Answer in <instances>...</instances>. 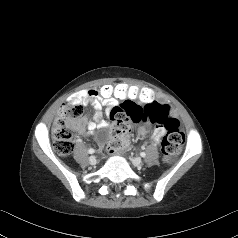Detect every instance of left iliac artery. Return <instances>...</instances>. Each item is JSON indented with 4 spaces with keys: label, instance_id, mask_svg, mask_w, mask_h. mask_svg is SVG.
<instances>
[{
    "label": "left iliac artery",
    "instance_id": "left-iliac-artery-1",
    "mask_svg": "<svg viewBox=\"0 0 238 238\" xmlns=\"http://www.w3.org/2000/svg\"><path fill=\"white\" fill-rule=\"evenodd\" d=\"M140 155H141V157H145L146 153L145 152H141Z\"/></svg>",
    "mask_w": 238,
    "mask_h": 238
}]
</instances>
